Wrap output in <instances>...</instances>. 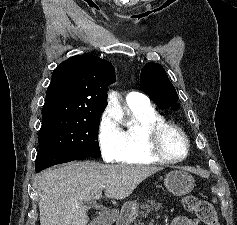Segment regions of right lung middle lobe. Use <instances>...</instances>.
<instances>
[{
  "label": "right lung middle lobe",
  "mask_w": 237,
  "mask_h": 225,
  "mask_svg": "<svg viewBox=\"0 0 237 225\" xmlns=\"http://www.w3.org/2000/svg\"><path fill=\"white\" fill-rule=\"evenodd\" d=\"M101 115L56 116L42 120L39 149L71 151L99 158L98 128Z\"/></svg>",
  "instance_id": "obj_1"
}]
</instances>
